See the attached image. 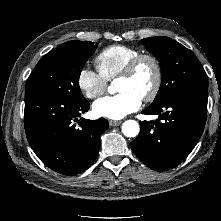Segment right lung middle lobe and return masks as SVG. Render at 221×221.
I'll return each mask as SVG.
<instances>
[{"mask_svg": "<svg viewBox=\"0 0 221 221\" xmlns=\"http://www.w3.org/2000/svg\"><path fill=\"white\" fill-rule=\"evenodd\" d=\"M95 48L90 41L74 40L51 50L35 66L25 92H40L73 103L85 101L79 87V77Z\"/></svg>", "mask_w": 221, "mask_h": 221, "instance_id": "right-lung-middle-lobe-1", "label": "right lung middle lobe"}]
</instances>
